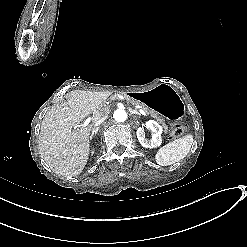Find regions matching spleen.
Wrapping results in <instances>:
<instances>
[{
  "mask_svg": "<svg viewBox=\"0 0 247 247\" xmlns=\"http://www.w3.org/2000/svg\"><path fill=\"white\" fill-rule=\"evenodd\" d=\"M194 135L188 133L174 142L160 147L155 154V162L159 166H170L183 160L190 152Z\"/></svg>",
  "mask_w": 247,
  "mask_h": 247,
  "instance_id": "1",
  "label": "spleen"
}]
</instances>
